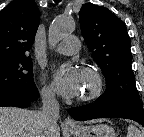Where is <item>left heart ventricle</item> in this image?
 I'll list each match as a JSON object with an SVG mask.
<instances>
[{"instance_id": "1", "label": "left heart ventricle", "mask_w": 144, "mask_h": 137, "mask_svg": "<svg viewBox=\"0 0 144 137\" xmlns=\"http://www.w3.org/2000/svg\"><path fill=\"white\" fill-rule=\"evenodd\" d=\"M82 76V84H81V91H80V95L87 93L91 87H92V79L86 75H84L83 73L81 74Z\"/></svg>"}]
</instances>
